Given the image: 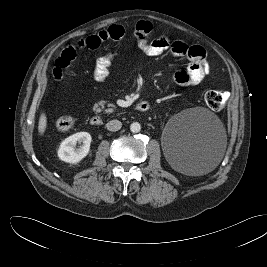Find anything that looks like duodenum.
Listing matches in <instances>:
<instances>
[{
	"label": "duodenum",
	"instance_id": "obj_1",
	"mask_svg": "<svg viewBox=\"0 0 267 267\" xmlns=\"http://www.w3.org/2000/svg\"><path fill=\"white\" fill-rule=\"evenodd\" d=\"M150 109V104L147 101H141L136 104V110L144 112ZM90 123L94 126H100L103 123V120L100 116H93L90 120Z\"/></svg>",
	"mask_w": 267,
	"mask_h": 267
}]
</instances>
